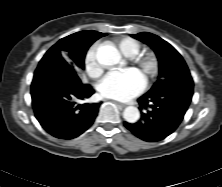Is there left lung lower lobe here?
Listing matches in <instances>:
<instances>
[{
  "label": "left lung lower lobe",
  "instance_id": "0a47b994",
  "mask_svg": "<svg viewBox=\"0 0 222 187\" xmlns=\"http://www.w3.org/2000/svg\"><path fill=\"white\" fill-rule=\"evenodd\" d=\"M193 81H185L179 96L171 99L165 92L144 94L138 99L141 113L140 121L124 125L134 135L148 142L163 140L179 126L189 107L193 95Z\"/></svg>",
  "mask_w": 222,
  "mask_h": 187
}]
</instances>
